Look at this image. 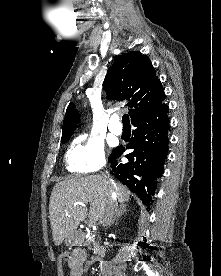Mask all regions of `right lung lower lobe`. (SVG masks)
I'll use <instances>...</instances> for the list:
<instances>
[{
    "label": "right lung lower lobe",
    "mask_w": 221,
    "mask_h": 276,
    "mask_svg": "<svg viewBox=\"0 0 221 276\" xmlns=\"http://www.w3.org/2000/svg\"><path fill=\"white\" fill-rule=\"evenodd\" d=\"M168 106L163 103L151 113L132 121L134 137L126 149H134L126 155L129 162L122 164L116 159L125 151L122 146L113 150L108 162L116 178L135 193L144 205L150 206L157 187V180L163 174L168 154Z\"/></svg>",
    "instance_id": "1"
}]
</instances>
